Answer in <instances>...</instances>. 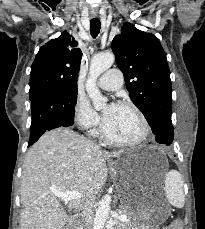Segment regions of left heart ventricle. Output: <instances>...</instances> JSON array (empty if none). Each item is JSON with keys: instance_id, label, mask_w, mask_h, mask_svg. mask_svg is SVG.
<instances>
[{"instance_id": "obj_1", "label": "left heart ventricle", "mask_w": 205, "mask_h": 229, "mask_svg": "<svg viewBox=\"0 0 205 229\" xmlns=\"http://www.w3.org/2000/svg\"><path fill=\"white\" fill-rule=\"evenodd\" d=\"M109 106L104 109L106 128L110 136L116 140L130 141L141 133V123L135 112L125 106L118 105L108 113Z\"/></svg>"}]
</instances>
